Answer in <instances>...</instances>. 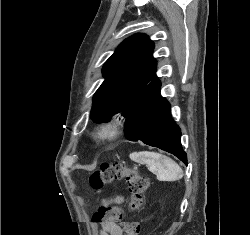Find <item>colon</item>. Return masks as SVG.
<instances>
[{"mask_svg": "<svg viewBox=\"0 0 250 235\" xmlns=\"http://www.w3.org/2000/svg\"><path fill=\"white\" fill-rule=\"evenodd\" d=\"M125 180L129 192L127 208L120 206H101L93 215V221L102 225H121L125 235H139L140 225L136 221L127 220L126 212L137 211L144 202V193L149 186V180L126 166L123 162L103 164L89 177V184L94 190Z\"/></svg>", "mask_w": 250, "mask_h": 235, "instance_id": "obj_1", "label": "colon"}]
</instances>
